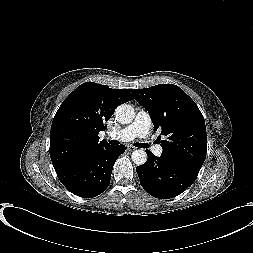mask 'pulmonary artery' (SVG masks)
I'll return each mask as SVG.
<instances>
[{
  "instance_id": "pulmonary-artery-1",
  "label": "pulmonary artery",
  "mask_w": 253,
  "mask_h": 253,
  "mask_svg": "<svg viewBox=\"0 0 253 253\" xmlns=\"http://www.w3.org/2000/svg\"><path fill=\"white\" fill-rule=\"evenodd\" d=\"M151 118L143 110L139 111L131 124L117 132L110 133L109 136L121 141H129L136 137L145 141L148 147L156 156H161L163 149L161 146L154 144L150 137Z\"/></svg>"
}]
</instances>
